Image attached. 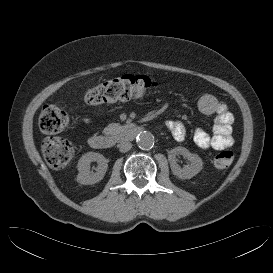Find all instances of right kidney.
Listing matches in <instances>:
<instances>
[{
    "label": "right kidney",
    "mask_w": 273,
    "mask_h": 273,
    "mask_svg": "<svg viewBox=\"0 0 273 273\" xmlns=\"http://www.w3.org/2000/svg\"><path fill=\"white\" fill-rule=\"evenodd\" d=\"M91 162H97L98 166L95 173L90 172ZM108 161L99 153L87 152L79 159L77 164L78 175L76 180L83 185H92L101 181L107 171Z\"/></svg>",
    "instance_id": "1"
}]
</instances>
